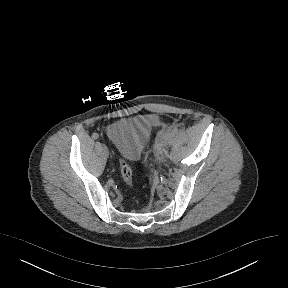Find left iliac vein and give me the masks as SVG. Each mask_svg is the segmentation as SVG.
Segmentation results:
<instances>
[{
    "label": "left iliac vein",
    "mask_w": 288,
    "mask_h": 288,
    "mask_svg": "<svg viewBox=\"0 0 288 288\" xmlns=\"http://www.w3.org/2000/svg\"><path fill=\"white\" fill-rule=\"evenodd\" d=\"M166 152V142H163L162 144V154H165Z\"/></svg>",
    "instance_id": "obj_1"
}]
</instances>
